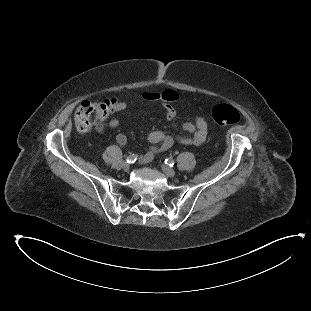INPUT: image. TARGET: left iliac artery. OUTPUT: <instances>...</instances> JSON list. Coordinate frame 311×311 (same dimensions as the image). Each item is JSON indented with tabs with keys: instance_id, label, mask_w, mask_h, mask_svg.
<instances>
[{
	"instance_id": "obj_1",
	"label": "left iliac artery",
	"mask_w": 311,
	"mask_h": 311,
	"mask_svg": "<svg viewBox=\"0 0 311 311\" xmlns=\"http://www.w3.org/2000/svg\"><path fill=\"white\" fill-rule=\"evenodd\" d=\"M165 164H167L169 166H173L175 164V161L172 158H166Z\"/></svg>"
}]
</instances>
